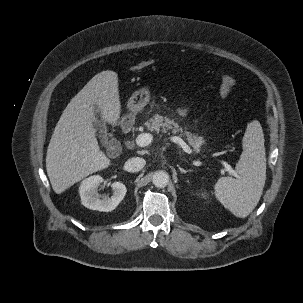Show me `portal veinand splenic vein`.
<instances>
[{
  "label": "portal vein and splenic vein",
  "instance_id": "obj_1",
  "mask_svg": "<svg viewBox=\"0 0 303 303\" xmlns=\"http://www.w3.org/2000/svg\"><path fill=\"white\" fill-rule=\"evenodd\" d=\"M170 140L176 144H178L186 153L191 154L192 153V149L185 143V141L183 139H181L178 136H173L170 137ZM153 141V136L149 133H142L139 134L136 137V144L139 147H145L148 146L151 142ZM221 163L224 165L226 171L231 174L234 177L238 178L237 173L233 170V168L225 161H221Z\"/></svg>",
  "mask_w": 303,
  "mask_h": 303
}]
</instances>
